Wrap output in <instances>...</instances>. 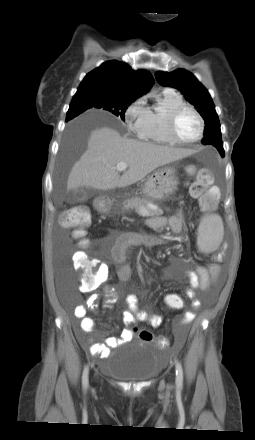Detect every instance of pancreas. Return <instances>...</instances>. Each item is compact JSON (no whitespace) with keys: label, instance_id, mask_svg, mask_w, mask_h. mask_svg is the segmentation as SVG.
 Returning a JSON list of instances; mask_svg holds the SVG:
<instances>
[{"label":"pancreas","instance_id":"1","mask_svg":"<svg viewBox=\"0 0 255 440\" xmlns=\"http://www.w3.org/2000/svg\"><path fill=\"white\" fill-rule=\"evenodd\" d=\"M152 202L148 198H140L135 197L128 199L124 202L123 211L135 210L138 214L143 215L141 213V208H144L147 211L146 216L157 217L163 214L162 209L156 207L155 209L149 206V203Z\"/></svg>","mask_w":255,"mask_h":440}]
</instances>
